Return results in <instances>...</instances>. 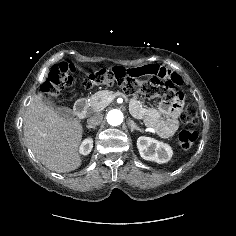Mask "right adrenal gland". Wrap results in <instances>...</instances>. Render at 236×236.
Wrapping results in <instances>:
<instances>
[{
    "label": "right adrenal gland",
    "mask_w": 236,
    "mask_h": 236,
    "mask_svg": "<svg viewBox=\"0 0 236 236\" xmlns=\"http://www.w3.org/2000/svg\"><path fill=\"white\" fill-rule=\"evenodd\" d=\"M86 128H87V129H95L96 127H95V126H89V125H87Z\"/></svg>",
    "instance_id": "1"
}]
</instances>
